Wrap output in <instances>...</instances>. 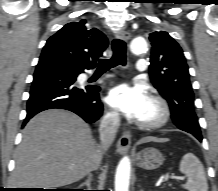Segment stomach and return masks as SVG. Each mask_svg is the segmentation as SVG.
Returning a JSON list of instances; mask_svg holds the SVG:
<instances>
[{
	"mask_svg": "<svg viewBox=\"0 0 218 191\" xmlns=\"http://www.w3.org/2000/svg\"><path fill=\"white\" fill-rule=\"evenodd\" d=\"M136 161L140 168L155 170L163 164L164 157L162 153L155 148H145L137 154Z\"/></svg>",
	"mask_w": 218,
	"mask_h": 191,
	"instance_id": "obj_1",
	"label": "stomach"
}]
</instances>
